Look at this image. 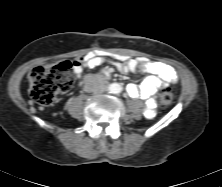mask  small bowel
I'll use <instances>...</instances> for the list:
<instances>
[{
    "label": "small bowel",
    "mask_w": 222,
    "mask_h": 187,
    "mask_svg": "<svg viewBox=\"0 0 222 187\" xmlns=\"http://www.w3.org/2000/svg\"><path fill=\"white\" fill-rule=\"evenodd\" d=\"M101 65H110L122 73L148 74L139 85L129 84L127 93L133 98L145 101V114L152 118L156 114L154 95L159 89L165 88L168 83H176L178 75L175 69L163 62L150 61L146 58H130L124 55H108L100 52H91L75 63L74 72L80 75L84 67L95 68Z\"/></svg>",
    "instance_id": "c3829d8e"
}]
</instances>
